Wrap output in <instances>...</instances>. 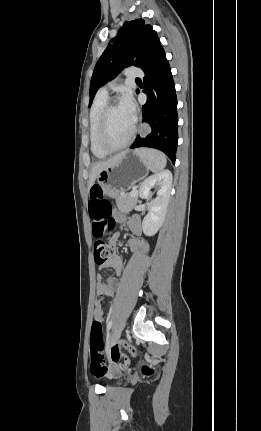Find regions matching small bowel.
I'll use <instances>...</instances> for the list:
<instances>
[{"mask_svg":"<svg viewBox=\"0 0 261 431\" xmlns=\"http://www.w3.org/2000/svg\"><path fill=\"white\" fill-rule=\"evenodd\" d=\"M120 221H125L123 216H118ZM129 229L134 236H139L141 234V221L138 216H132L127 220ZM119 243V235L117 233L113 234L109 238V244L112 247H117ZM130 249L134 252H146L148 250V245L143 240L133 237L128 241ZM100 268H113L117 273L122 271V262L120 256L114 252V254L104 263L98 264ZM116 279L109 278L106 281L103 280L102 275H97L96 290L99 295H104L112 297L115 294ZM106 316V311L101 302H96L93 317L94 320L103 322Z\"/></svg>","mask_w":261,"mask_h":431,"instance_id":"obj_1","label":"small bowel"}]
</instances>
